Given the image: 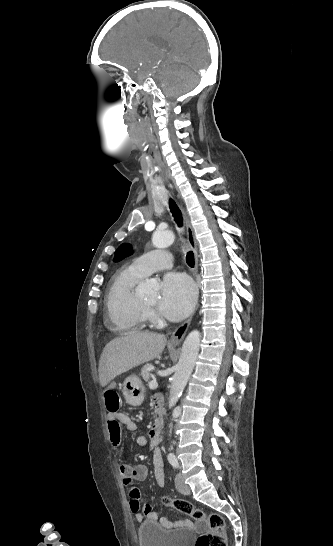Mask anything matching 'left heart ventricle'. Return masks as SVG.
<instances>
[{
    "mask_svg": "<svg viewBox=\"0 0 333 546\" xmlns=\"http://www.w3.org/2000/svg\"><path fill=\"white\" fill-rule=\"evenodd\" d=\"M148 305H154L155 304V301H147L146 302Z\"/></svg>",
    "mask_w": 333,
    "mask_h": 546,
    "instance_id": "left-heart-ventricle-1",
    "label": "left heart ventricle"
}]
</instances>
